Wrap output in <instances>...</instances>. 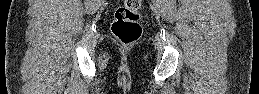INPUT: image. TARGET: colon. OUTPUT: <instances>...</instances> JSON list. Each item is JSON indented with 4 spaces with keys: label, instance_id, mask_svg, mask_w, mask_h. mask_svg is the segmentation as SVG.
<instances>
[{
    "label": "colon",
    "instance_id": "obj_1",
    "mask_svg": "<svg viewBox=\"0 0 259 94\" xmlns=\"http://www.w3.org/2000/svg\"><path fill=\"white\" fill-rule=\"evenodd\" d=\"M141 0H125L114 13L113 35L123 44H131L141 36L139 24Z\"/></svg>",
    "mask_w": 259,
    "mask_h": 94
}]
</instances>
